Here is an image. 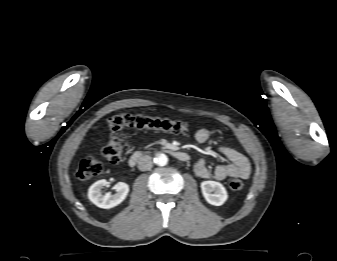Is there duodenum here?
<instances>
[{"mask_svg": "<svg viewBox=\"0 0 337 261\" xmlns=\"http://www.w3.org/2000/svg\"><path fill=\"white\" fill-rule=\"evenodd\" d=\"M164 152H167L171 154L173 157L178 159L181 162H187L189 160V155L181 150L175 149V148H164ZM143 159V153L140 151H137L133 153L129 158V165L131 167L136 166L141 160Z\"/></svg>", "mask_w": 337, "mask_h": 261, "instance_id": "410a0bca", "label": "duodenum"}]
</instances>
